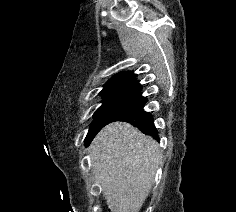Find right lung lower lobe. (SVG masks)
Wrapping results in <instances>:
<instances>
[{
    "label": "right lung lower lobe",
    "instance_id": "right-lung-lower-lobe-1",
    "mask_svg": "<svg viewBox=\"0 0 236 212\" xmlns=\"http://www.w3.org/2000/svg\"><path fill=\"white\" fill-rule=\"evenodd\" d=\"M146 102L147 99L141 94V85H137L129 92L127 99L106 124L114 121L129 122L140 129L144 134L151 135L154 139L159 140L151 113L143 109Z\"/></svg>",
    "mask_w": 236,
    "mask_h": 212
}]
</instances>
